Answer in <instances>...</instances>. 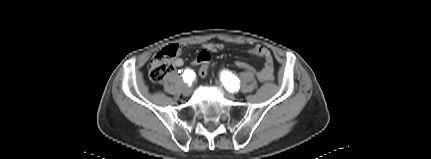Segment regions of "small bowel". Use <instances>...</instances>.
<instances>
[{"mask_svg":"<svg viewBox=\"0 0 431 159\" xmlns=\"http://www.w3.org/2000/svg\"><path fill=\"white\" fill-rule=\"evenodd\" d=\"M223 48H224V45L221 43H207L204 45V49L202 51H208L210 53L211 52L214 53L219 50H222ZM248 54L251 56L261 58L263 60L262 67L256 70L257 73L261 76L260 80L265 81V80L271 79L273 76V59L270 51L265 47L255 46L248 51ZM244 63H247V62H244ZM183 64H184V60L181 57H177L173 61V65L175 67H182Z\"/></svg>","mask_w":431,"mask_h":159,"instance_id":"obj_1","label":"small bowel"}]
</instances>
